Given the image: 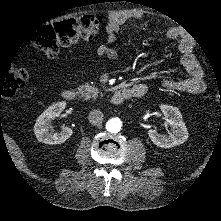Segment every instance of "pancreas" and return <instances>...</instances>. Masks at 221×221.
Listing matches in <instances>:
<instances>
[{"mask_svg": "<svg viewBox=\"0 0 221 221\" xmlns=\"http://www.w3.org/2000/svg\"><path fill=\"white\" fill-rule=\"evenodd\" d=\"M78 90L84 100L96 98L98 95L103 96L101 89L97 88L95 85H89L87 83L80 85Z\"/></svg>", "mask_w": 221, "mask_h": 221, "instance_id": "cf45deb5", "label": "pancreas"}]
</instances>
